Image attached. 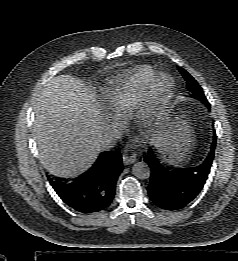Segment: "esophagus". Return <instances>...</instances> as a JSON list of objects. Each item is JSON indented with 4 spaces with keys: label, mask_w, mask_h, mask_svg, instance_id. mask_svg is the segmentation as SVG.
I'll use <instances>...</instances> for the list:
<instances>
[{
    "label": "esophagus",
    "mask_w": 238,
    "mask_h": 261,
    "mask_svg": "<svg viewBox=\"0 0 238 261\" xmlns=\"http://www.w3.org/2000/svg\"><path fill=\"white\" fill-rule=\"evenodd\" d=\"M136 161V155L135 154H128L124 153L123 154V163L125 165H130Z\"/></svg>",
    "instance_id": "34e87169"
}]
</instances>
